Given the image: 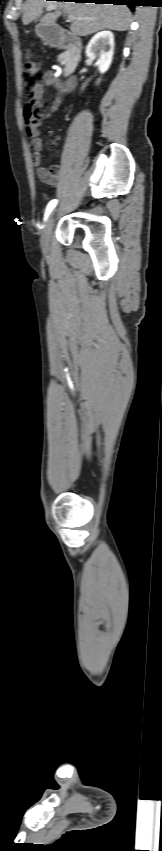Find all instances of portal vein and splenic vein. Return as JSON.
Returning <instances> with one entry per match:
<instances>
[{
  "label": "portal vein and splenic vein",
  "mask_w": 162,
  "mask_h": 851,
  "mask_svg": "<svg viewBox=\"0 0 162 851\" xmlns=\"http://www.w3.org/2000/svg\"><path fill=\"white\" fill-rule=\"evenodd\" d=\"M47 9H48V10H52V9H54V8H53V7H47ZM68 19H69L70 21H74V20H76L77 18H75L73 15H69V16H68Z\"/></svg>",
  "instance_id": "portal-vein-and-splenic-vein-1"
}]
</instances>
